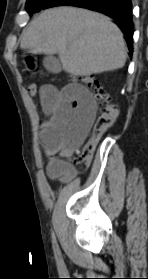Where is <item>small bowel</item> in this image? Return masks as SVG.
<instances>
[{"label": "small bowel", "mask_w": 148, "mask_h": 279, "mask_svg": "<svg viewBox=\"0 0 148 279\" xmlns=\"http://www.w3.org/2000/svg\"><path fill=\"white\" fill-rule=\"evenodd\" d=\"M39 96L45 113L39 135L49 157L47 177L70 182L77 176V171L62 157L72 155L86 139L96 114L95 100L79 83H70L61 89L45 85Z\"/></svg>", "instance_id": "c3829d8e"}]
</instances>
